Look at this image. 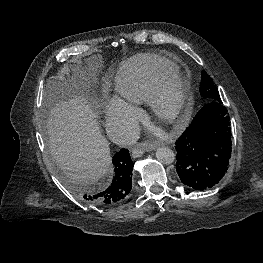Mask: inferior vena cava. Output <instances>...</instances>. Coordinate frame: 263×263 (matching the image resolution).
I'll return each mask as SVG.
<instances>
[{
    "mask_svg": "<svg viewBox=\"0 0 263 263\" xmlns=\"http://www.w3.org/2000/svg\"><path fill=\"white\" fill-rule=\"evenodd\" d=\"M107 133L109 138L121 147L131 146L136 142V135L128 122L114 121L108 124Z\"/></svg>",
    "mask_w": 263,
    "mask_h": 263,
    "instance_id": "obj_1",
    "label": "inferior vena cava"
}]
</instances>
